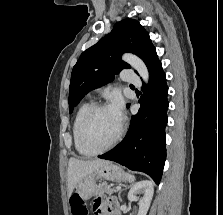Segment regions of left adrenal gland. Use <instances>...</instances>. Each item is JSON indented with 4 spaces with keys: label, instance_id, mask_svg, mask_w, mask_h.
<instances>
[{
    "label": "left adrenal gland",
    "instance_id": "left-adrenal-gland-1",
    "mask_svg": "<svg viewBox=\"0 0 223 215\" xmlns=\"http://www.w3.org/2000/svg\"><path fill=\"white\" fill-rule=\"evenodd\" d=\"M124 189H128V187H124ZM121 191H123V189H119L118 199H120V201H122Z\"/></svg>",
    "mask_w": 223,
    "mask_h": 215
}]
</instances>
